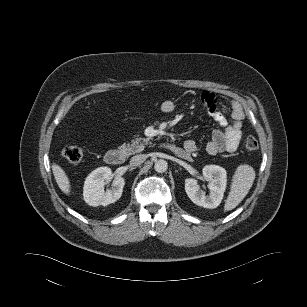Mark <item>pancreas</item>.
<instances>
[{
  "label": "pancreas",
  "mask_w": 307,
  "mask_h": 307,
  "mask_svg": "<svg viewBox=\"0 0 307 307\" xmlns=\"http://www.w3.org/2000/svg\"><path fill=\"white\" fill-rule=\"evenodd\" d=\"M149 144V138H136L130 143H124L119 147L120 151L126 156L139 153L144 150L145 145Z\"/></svg>",
  "instance_id": "1"
}]
</instances>
